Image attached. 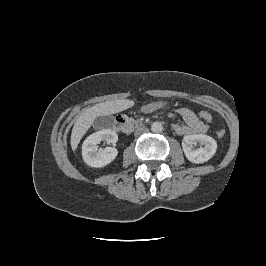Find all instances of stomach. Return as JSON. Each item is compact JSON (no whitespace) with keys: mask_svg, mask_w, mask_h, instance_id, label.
I'll use <instances>...</instances> for the list:
<instances>
[{"mask_svg":"<svg viewBox=\"0 0 266 266\" xmlns=\"http://www.w3.org/2000/svg\"><path fill=\"white\" fill-rule=\"evenodd\" d=\"M157 108V106L155 104H149L147 106L144 107V111L145 112H152Z\"/></svg>","mask_w":266,"mask_h":266,"instance_id":"obj_1","label":"stomach"}]
</instances>
